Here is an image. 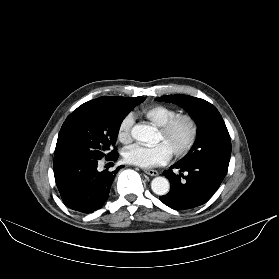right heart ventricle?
<instances>
[{"mask_svg":"<svg viewBox=\"0 0 279 279\" xmlns=\"http://www.w3.org/2000/svg\"><path fill=\"white\" fill-rule=\"evenodd\" d=\"M140 113L154 126L161 127L179 111L166 105H152L142 109Z\"/></svg>","mask_w":279,"mask_h":279,"instance_id":"1","label":"right heart ventricle"}]
</instances>
